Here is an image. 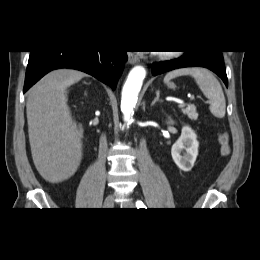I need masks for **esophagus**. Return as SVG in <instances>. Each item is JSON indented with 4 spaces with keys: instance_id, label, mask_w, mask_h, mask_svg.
<instances>
[{
    "instance_id": "34e87169",
    "label": "esophagus",
    "mask_w": 260,
    "mask_h": 260,
    "mask_svg": "<svg viewBox=\"0 0 260 260\" xmlns=\"http://www.w3.org/2000/svg\"><path fill=\"white\" fill-rule=\"evenodd\" d=\"M128 59L131 64H136L139 62L138 56L131 52L128 53Z\"/></svg>"
}]
</instances>
